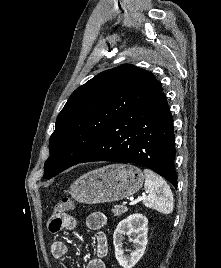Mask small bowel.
<instances>
[{"label":"small bowel","instance_id":"1","mask_svg":"<svg viewBox=\"0 0 221 268\" xmlns=\"http://www.w3.org/2000/svg\"><path fill=\"white\" fill-rule=\"evenodd\" d=\"M86 226L95 232L96 257L91 259L85 268H107L105 257L108 253V239L101 231L106 223V216L102 212H93L86 218ZM75 220L67 215L53 214L48 221V229L51 233H59L64 230H70L75 227ZM50 252L56 259L63 258L68 253V246L61 241H54L50 245Z\"/></svg>","mask_w":221,"mask_h":268}]
</instances>
